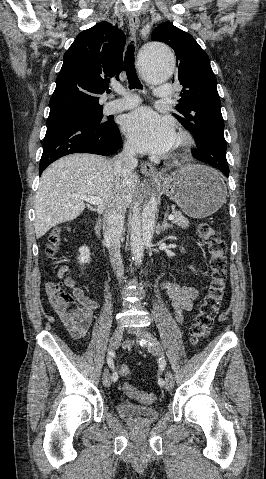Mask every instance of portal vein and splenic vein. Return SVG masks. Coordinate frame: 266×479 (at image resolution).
<instances>
[{
    "label": "portal vein and splenic vein",
    "instance_id": "1",
    "mask_svg": "<svg viewBox=\"0 0 266 479\" xmlns=\"http://www.w3.org/2000/svg\"><path fill=\"white\" fill-rule=\"evenodd\" d=\"M76 197H78V198H80L84 201H87L92 205H97V206H99L103 202V200L99 197L86 196V195H77ZM174 218H175V216L173 214H170L168 216V220H174Z\"/></svg>",
    "mask_w": 266,
    "mask_h": 479
}]
</instances>
